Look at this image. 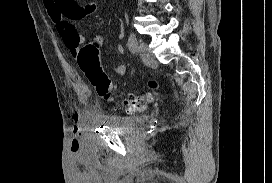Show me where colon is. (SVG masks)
<instances>
[{
	"label": "colon",
	"mask_w": 272,
	"mask_h": 183,
	"mask_svg": "<svg viewBox=\"0 0 272 183\" xmlns=\"http://www.w3.org/2000/svg\"><path fill=\"white\" fill-rule=\"evenodd\" d=\"M101 51V43L90 41L85 44L78 54V64L82 72L95 88L97 94L106 101L113 100V86L108 76L102 70L99 63V55ZM151 88L157 87V82L151 80L149 82ZM149 93L135 96L125 100L123 103L127 107L128 112L136 113L144 109L146 104L151 100Z\"/></svg>",
	"instance_id": "colon-1"
}]
</instances>
